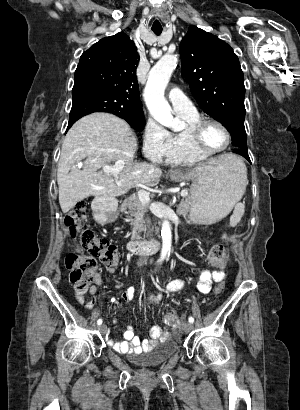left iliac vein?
Segmentation results:
<instances>
[{
    "label": "left iliac vein",
    "mask_w": 300,
    "mask_h": 410,
    "mask_svg": "<svg viewBox=\"0 0 300 410\" xmlns=\"http://www.w3.org/2000/svg\"><path fill=\"white\" fill-rule=\"evenodd\" d=\"M192 329H193V324L192 323H190V322L185 323L184 330L186 332H190V331H192Z\"/></svg>",
    "instance_id": "left-iliac-vein-1"
}]
</instances>
